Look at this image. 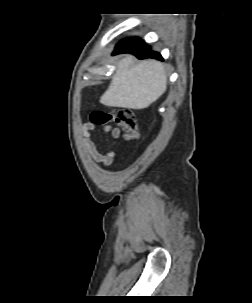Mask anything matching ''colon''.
I'll return each mask as SVG.
<instances>
[{"instance_id": "1", "label": "colon", "mask_w": 252, "mask_h": 303, "mask_svg": "<svg viewBox=\"0 0 252 303\" xmlns=\"http://www.w3.org/2000/svg\"><path fill=\"white\" fill-rule=\"evenodd\" d=\"M90 120L95 125H118L127 139H133L139 132L136 115L128 109L118 111L96 110L91 114Z\"/></svg>"}]
</instances>
